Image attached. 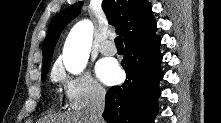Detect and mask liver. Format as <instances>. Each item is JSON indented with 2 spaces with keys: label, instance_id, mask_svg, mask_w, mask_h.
<instances>
[{
  "label": "liver",
  "instance_id": "6515ba94",
  "mask_svg": "<svg viewBox=\"0 0 221 123\" xmlns=\"http://www.w3.org/2000/svg\"><path fill=\"white\" fill-rule=\"evenodd\" d=\"M47 123H91L85 112L69 113L51 116L45 119Z\"/></svg>",
  "mask_w": 221,
  "mask_h": 123
}]
</instances>
